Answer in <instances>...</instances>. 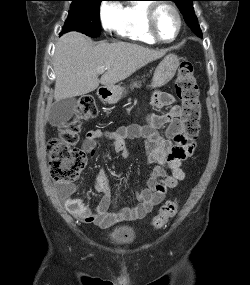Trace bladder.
<instances>
[{
  "label": "bladder",
  "instance_id": "1",
  "mask_svg": "<svg viewBox=\"0 0 250 285\" xmlns=\"http://www.w3.org/2000/svg\"><path fill=\"white\" fill-rule=\"evenodd\" d=\"M108 238L115 244L127 245L134 240L135 231L128 225L116 226L108 233Z\"/></svg>",
  "mask_w": 250,
  "mask_h": 285
}]
</instances>
